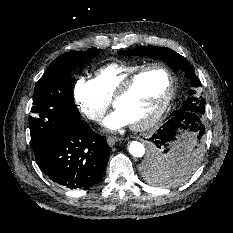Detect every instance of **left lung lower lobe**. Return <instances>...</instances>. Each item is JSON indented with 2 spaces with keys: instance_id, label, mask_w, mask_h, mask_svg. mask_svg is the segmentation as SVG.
I'll use <instances>...</instances> for the list:
<instances>
[{
  "instance_id": "1",
  "label": "left lung lower lobe",
  "mask_w": 233,
  "mask_h": 233,
  "mask_svg": "<svg viewBox=\"0 0 233 233\" xmlns=\"http://www.w3.org/2000/svg\"><path fill=\"white\" fill-rule=\"evenodd\" d=\"M187 129L192 132L194 139H196L197 142H200L201 138L205 134V127L200 122L186 125L179 123L176 120H172V118H169V120L161 128H159L155 134H153L149 140L154 147V151L150 160L148 161L147 175L153 174V171L157 169L159 170V168L164 169L163 171H166L165 169L169 168L167 158L171 154V146L179 139L180 131ZM200 150L199 145L195 146L192 149L190 156L195 159L199 155ZM175 179L177 178L172 176L165 182H172Z\"/></svg>"
}]
</instances>
